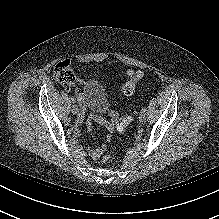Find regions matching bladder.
Here are the masks:
<instances>
[{
  "mask_svg": "<svg viewBox=\"0 0 219 219\" xmlns=\"http://www.w3.org/2000/svg\"><path fill=\"white\" fill-rule=\"evenodd\" d=\"M84 94L89 111L96 117L103 118L110 109V100L100 80H88L84 86Z\"/></svg>",
  "mask_w": 219,
  "mask_h": 219,
  "instance_id": "obj_1",
  "label": "bladder"
}]
</instances>
